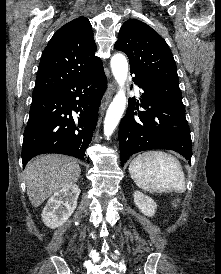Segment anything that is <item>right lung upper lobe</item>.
<instances>
[{
    "mask_svg": "<svg viewBox=\"0 0 221 274\" xmlns=\"http://www.w3.org/2000/svg\"><path fill=\"white\" fill-rule=\"evenodd\" d=\"M92 26L85 17L76 18L55 32L40 60L33 96L91 75L103 67L95 56Z\"/></svg>",
    "mask_w": 221,
    "mask_h": 274,
    "instance_id": "right-lung-upper-lobe-1",
    "label": "right lung upper lobe"
}]
</instances>
